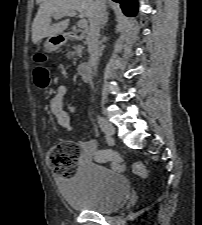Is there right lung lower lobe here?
<instances>
[{
    "label": "right lung lower lobe",
    "instance_id": "obj_1",
    "mask_svg": "<svg viewBox=\"0 0 202 225\" xmlns=\"http://www.w3.org/2000/svg\"><path fill=\"white\" fill-rule=\"evenodd\" d=\"M120 3L123 12L128 16H134L137 12L136 0H113Z\"/></svg>",
    "mask_w": 202,
    "mask_h": 225
}]
</instances>
